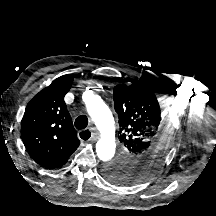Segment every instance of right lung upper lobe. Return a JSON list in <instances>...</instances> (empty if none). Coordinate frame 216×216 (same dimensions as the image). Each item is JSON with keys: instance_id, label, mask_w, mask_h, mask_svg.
<instances>
[{"instance_id": "cb5924a9", "label": "right lung upper lobe", "mask_w": 216, "mask_h": 216, "mask_svg": "<svg viewBox=\"0 0 216 216\" xmlns=\"http://www.w3.org/2000/svg\"><path fill=\"white\" fill-rule=\"evenodd\" d=\"M73 79L71 74L63 75L41 90L28 103L22 119L26 150L47 169L63 166L80 144L64 102Z\"/></svg>"}]
</instances>
